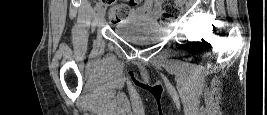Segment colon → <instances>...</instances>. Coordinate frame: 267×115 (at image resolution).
I'll list each match as a JSON object with an SVG mask.
<instances>
[{"mask_svg":"<svg viewBox=\"0 0 267 115\" xmlns=\"http://www.w3.org/2000/svg\"><path fill=\"white\" fill-rule=\"evenodd\" d=\"M129 15V6L125 3H116L111 5L107 11V18L112 23H118ZM179 16V10L176 6L166 4L160 9V17L164 21L176 20Z\"/></svg>","mask_w":267,"mask_h":115,"instance_id":"1","label":"colon"}]
</instances>
